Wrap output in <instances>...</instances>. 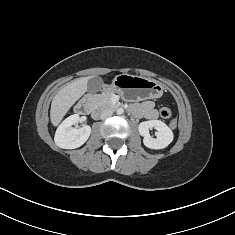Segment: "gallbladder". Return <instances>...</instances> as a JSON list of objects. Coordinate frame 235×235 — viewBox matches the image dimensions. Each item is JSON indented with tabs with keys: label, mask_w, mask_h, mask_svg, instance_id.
Instances as JSON below:
<instances>
[{
	"label": "gallbladder",
	"mask_w": 235,
	"mask_h": 235,
	"mask_svg": "<svg viewBox=\"0 0 235 235\" xmlns=\"http://www.w3.org/2000/svg\"><path fill=\"white\" fill-rule=\"evenodd\" d=\"M103 86V80L98 77H92L89 79L88 84H87V90L89 93H95L98 92Z\"/></svg>",
	"instance_id": "obj_1"
}]
</instances>
